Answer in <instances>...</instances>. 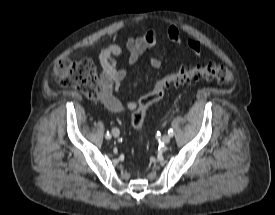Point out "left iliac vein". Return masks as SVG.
<instances>
[{"instance_id": "obj_1", "label": "left iliac vein", "mask_w": 275, "mask_h": 215, "mask_svg": "<svg viewBox=\"0 0 275 215\" xmlns=\"http://www.w3.org/2000/svg\"><path fill=\"white\" fill-rule=\"evenodd\" d=\"M170 140H171V137H170L169 135H164V136L162 137V142H163L164 144H168V143L170 142Z\"/></svg>"}]
</instances>
